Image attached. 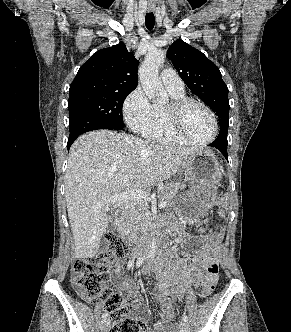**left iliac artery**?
<instances>
[{
    "instance_id": "1",
    "label": "left iliac artery",
    "mask_w": 291,
    "mask_h": 332,
    "mask_svg": "<svg viewBox=\"0 0 291 332\" xmlns=\"http://www.w3.org/2000/svg\"><path fill=\"white\" fill-rule=\"evenodd\" d=\"M182 318L184 321L188 322V316L186 314H184Z\"/></svg>"
}]
</instances>
